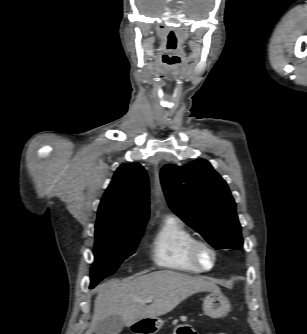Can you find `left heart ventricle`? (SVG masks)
I'll list each match as a JSON object with an SVG mask.
<instances>
[{"mask_svg":"<svg viewBox=\"0 0 307 334\" xmlns=\"http://www.w3.org/2000/svg\"><path fill=\"white\" fill-rule=\"evenodd\" d=\"M200 258L205 266H210L212 264L213 257H212V254L208 250L201 249Z\"/></svg>","mask_w":307,"mask_h":334,"instance_id":"left-heart-ventricle-1","label":"left heart ventricle"}]
</instances>
